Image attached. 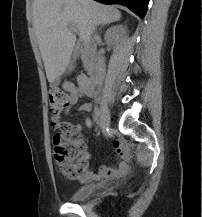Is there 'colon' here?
Wrapping results in <instances>:
<instances>
[{"instance_id": "obj_1", "label": "colon", "mask_w": 202, "mask_h": 217, "mask_svg": "<svg viewBox=\"0 0 202 217\" xmlns=\"http://www.w3.org/2000/svg\"><path fill=\"white\" fill-rule=\"evenodd\" d=\"M72 104L69 93L54 89L49 92V112L58 129L53 137L54 157L60 173L69 180L83 175L85 141L70 124L61 121L62 113Z\"/></svg>"}]
</instances>
